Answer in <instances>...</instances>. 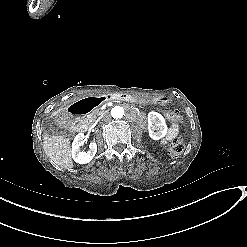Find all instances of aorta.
Listing matches in <instances>:
<instances>
[{"label":"aorta","instance_id":"obj_1","mask_svg":"<svg viewBox=\"0 0 247 247\" xmlns=\"http://www.w3.org/2000/svg\"><path fill=\"white\" fill-rule=\"evenodd\" d=\"M124 113V108L120 106H115L111 110V115L114 119L122 118L124 116Z\"/></svg>","mask_w":247,"mask_h":247}]
</instances>
